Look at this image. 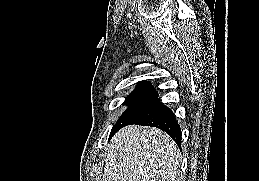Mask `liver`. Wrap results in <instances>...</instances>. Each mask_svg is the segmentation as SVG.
<instances>
[{
  "label": "liver",
  "mask_w": 259,
  "mask_h": 181,
  "mask_svg": "<svg viewBox=\"0 0 259 181\" xmlns=\"http://www.w3.org/2000/svg\"><path fill=\"white\" fill-rule=\"evenodd\" d=\"M180 157L162 130L130 125L112 138L103 181H179Z\"/></svg>",
  "instance_id": "obj_1"
}]
</instances>
